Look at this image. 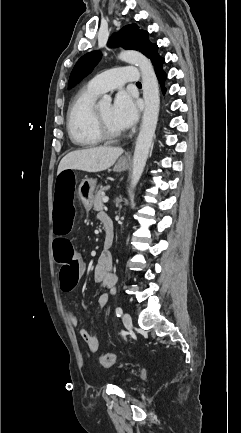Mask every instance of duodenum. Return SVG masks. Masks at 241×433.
I'll list each match as a JSON object with an SVG mask.
<instances>
[{"mask_svg": "<svg viewBox=\"0 0 241 433\" xmlns=\"http://www.w3.org/2000/svg\"><path fill=\"white\" fill-rule=\"evenodd\" d=\"M102 224L105 227L104 250L103 253L107 254L114 240V223L110 216L104 215Z\"/></svg>", "mask_w": 241, "mask_h": 433, "instance_id": "duodenum-1", "label": "duodenum"}]
</instances>
